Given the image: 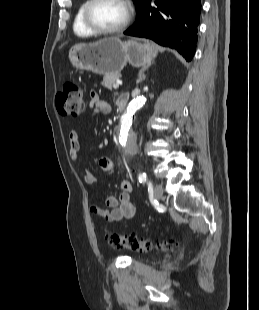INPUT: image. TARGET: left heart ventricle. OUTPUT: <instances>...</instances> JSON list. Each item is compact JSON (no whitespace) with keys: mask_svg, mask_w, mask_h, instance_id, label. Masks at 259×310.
Instances as JSON below:
<instances>
[{"mask_svg":"<svg viewBox=\"0 0 259 310\" xmlns=\"http://www.w3.org/2000/svg\"><path fill=\"white\" fill-rule=\"evenodd\" d=\"M126 17V8L120 0H100L91 11L95 24L103 28L119 26Z\"/></svg>","mask_w":259,"mask_h":310,"instance_id":"left-heart-ventricle-1","label":"left heart ventricle"}]
</instances>
